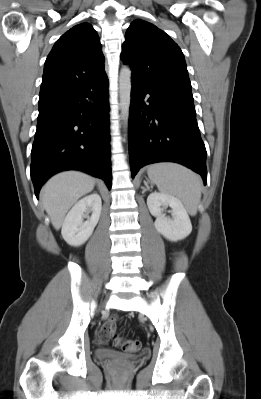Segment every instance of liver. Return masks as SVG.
I'll list each match as a JSON object with an SVG mask.
<instances>
[{
    "label": "liver",
    "mask_w": 261,
    "mask_h": 399,
    "mask_svg": "<svg viewBox=\"0 0 261 399\" xmlns=\"http://www.w3.org/2000/svg\"><path fill=\"white\" fill-rule=\"evenodd\" d=\"M94 185L95 180L91 176L68 171L55 175L43 186L42 204L56 230L62 226L68 210L79 198L90 193Z\"/></svg>",
    "instance_id": "liver-1"
}]
</instances>
